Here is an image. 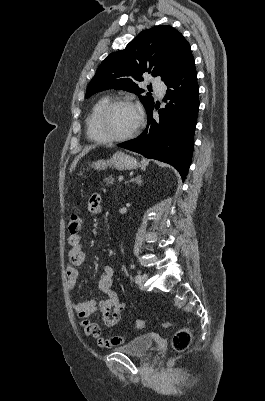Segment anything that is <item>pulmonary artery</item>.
<instances>
[{
    "label": "pulmonary artery",
    "instance_id": "e3ab8cb5",
    "mask_svg": "<svg viewBox=\"0 0 265 401\" xmlns=\"http://www.w3.org/2000/svg\"><path fill=\"white\" fill-rule=\"evenodd\" d=\"M152 89L153 90H162L163 89V82L162 81H153L152 82Z\"/></svg>",
    "mask_w": 265,
    "mask_h": 401
}]
</instances>
